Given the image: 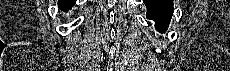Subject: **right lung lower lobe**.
<instances>
[{
    "mask_svg": "<svg viewBox=\"0 0 230 71\" xmlns=\"http://www.w3.org/2000/svg\"><path fill=\"white\" fill-rule=\"evenodd\" d=\"M75 3V0H59L58 6L64 10L68 11Z\"/></svg>",
    "mask_w": 230,
    "mask_h": 71,
    "instance_id": "right-lung-lower-lobe-1",
    "label": "right lung lower lobe"
}]
</instances>
